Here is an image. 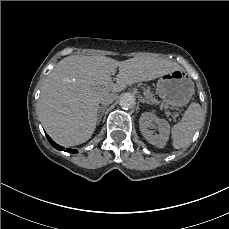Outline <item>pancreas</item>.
<instances>
[{
	"mask_svg": "<svg viewBox=\"0 0 229 229\" xmlns=\"http://www.w3.org/2000/svg\"><path fill=\"white\" fill-rule=\"evenodd\" d=\"M144 95H145V99H146V102L148 104H160L161 102L159 100H157L155 97H154V94L150 91V88H147L144 92ZM161 106L162 107H165V108H168L167 105H165L164 103H161Z\"/></svg>",
	"mask_w": 229,
	"mask_h": 229,
	"instance_id": "obj_1",
	"label": "pancreas"
}]
</instances>
